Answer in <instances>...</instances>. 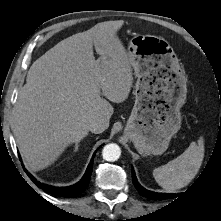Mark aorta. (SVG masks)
<instances>
[{
  "mask_svg": "<svg viewBox=\"0 0 221 221\" xmlns=\"http://www.w3.org/2000/svg\"><path fill=\"white\" fill-rule=\"evenodd\" d=\"M102 155L106 161L114 162L119 159L121 155V149L117 144H107L103 148Z\"/></svg>",
  "mask_w": 221,
  "mask_h": 221,
  "instance_id": "762f6f07",
  "label": "aorta"
}]
</instances>
